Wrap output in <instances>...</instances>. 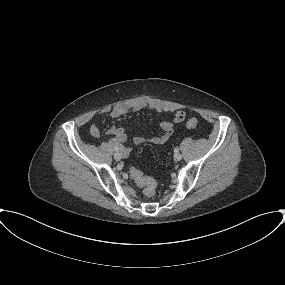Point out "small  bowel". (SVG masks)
<instances>
[{"label": "small bowel", "mask_w": 285, "mask_h": 285, "mask_svg": "<svg viewBox=\"0 0 285 285\" xmlns=\"http://www.w3.org/2000/svg\"><path fill=\"white\" fill-rule=\"evenodd\" d=\"M142 109H149L156 111L158 113H163V108L159 106L158 104H155L153 102L147 101V100H132L124 103L117 104L110 109L104 110V114H108V116L112 119L119 118L123 115H126L128 113H132L138 110ZM182 113L183 117L179 118L178 114ZM185 114L182 111H179L175 115L174 121L176 123H181L184 120ZM161 129L163 133L159 136H155L151 138L149 141L156 145H162L165 144L171 135L174 132V125L172 122L164 121L161 123ZM101 134V129L98 124H92L90 127V135L93 137H98ZM106 134L110 136L109 143L115 147H119V149L122 152H125L129 154L130 148L125 145V142L127 140V136L125 133V130L123 127L112 125L106 130ZM148 139L145 136L139 135L133 137V142L135 144H143L147 142Z\"/></svg>", "instance_id": "c3829d8e"}]
</instances>
